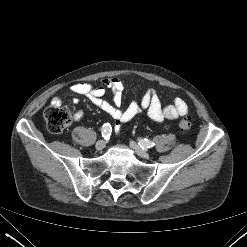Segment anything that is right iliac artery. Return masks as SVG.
<instances>
[{
  "label": "right iliac artery",
  "mask_w": 247,
  "mask_h": 247,
  "mask_svg": "<svg viewBox=\"0 0 247 247\" xmlns=\"http://www.w3.org/2000/svg\"><path fill=\"white\" fill-rule=\"evenodd\" d=\"M111 132H112V127L109 123H105L103 126H102V137L105 138V139H108L111 135Z\"/></svg>",
  "instance_id": "1"
}]
</instances>
